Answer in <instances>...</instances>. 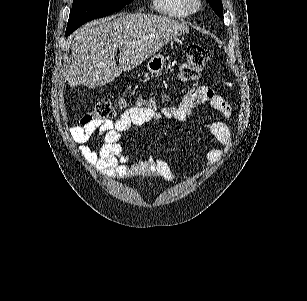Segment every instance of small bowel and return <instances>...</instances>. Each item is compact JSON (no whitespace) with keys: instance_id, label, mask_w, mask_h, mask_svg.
I'll return each mask as SVG.
<instances>
[{"instance_id":"c3829d8e","label":"small bowel","mask_w":307,"mask_h":301,"mask_svg":"<svg viewBox=\"0 0 307 301\" xmlns=\"http://www.w3.org/2000/svg\"><path fill=\"white\" fill-rule=\"evenodd\" d=\"M202 105L222 113L226 118L232 117V106L225 98L207 86H194L177 106L165 107L160 111L134 106L115 121L73 126L70 128V136L78 144L81 155L103 176L122 179L159 176L171 182L174 179L171 165L163 159L147 157L131 163L130 155L122 147V134L131 127L150 124L160 118L185 122L193 110ZM202 125L213 141L221 145H212L206 153L207 166H211L230 150L232 134L228 125L219 120H208ZM95 134L102 140L97 148L92 149L88 142Z\"/></svg>"}]
</instances>
